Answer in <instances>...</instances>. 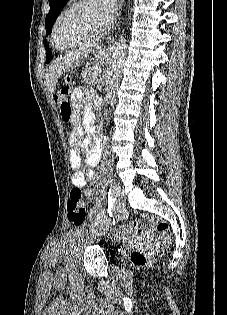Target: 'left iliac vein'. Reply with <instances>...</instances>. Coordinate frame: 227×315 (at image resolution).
<instances>
[{"instance_id": "left-iliac-vein-1", "label": "left iliac vein", "mask_w": 227, "mask_h": 315, "mask_svg": "<svg viewBox=\"0 0 227 315\" xmlns=\"http://www.w3.org/2000/svg\"><path fill=\"white\" fill-rule=\"evenodd\" d=\"M114 190L116 193V201L113 207V217L118 216L122 209L125 206V197L124 194L121 192V188L118 184L114 185ZM111 224V218H106L99 226V229L97 231V235H102L103 233H105L107 231V229L109 228Z\"/></svg>"}]
</instances>
